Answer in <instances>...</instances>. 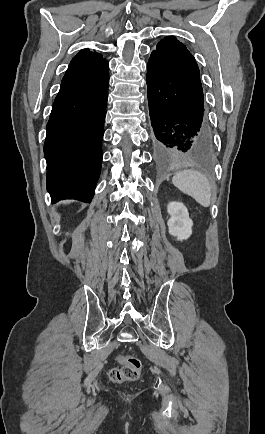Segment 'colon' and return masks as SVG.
<instances>
[{"label":"colon","mask_w":265,"mask_h":434,"mask_svg":"<svg viewBox=\"0 0 265 434\" xmlns=\"http://www.w3.org/2000/svg\"><path fill=\"white\" fill-rule=\"evenodd\" d=\"M142 363L135 357H125L121 359V366L113 368L109 372V377L115 382H127L136 380L140 377Z\"/></svg>","instance_id":"5ec220e1"}]
</instances>
